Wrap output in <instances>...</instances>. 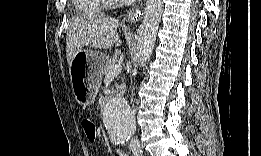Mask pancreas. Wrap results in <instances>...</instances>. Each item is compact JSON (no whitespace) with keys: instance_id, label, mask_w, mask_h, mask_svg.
Here are the masks:
<instances>
[{"instance_id":"cf45deb5","label":"pancreas","mask_w":261,"mask_h":156,"mask_svg":"<svg viewBox=\"0 0 261 156\" xmlns=\"http://www.w3.org/2000/svg\"><path fill=\"white\" fill-rule=\"evenodd\" d=\"M118 61H119V60H118V57H116V56H113L112 58L107 59V60L105 61L104 65H103L102 69H101V73H102L103 75H108V73H109L111 67H112L113 65L117 64Z\"/></svg>"}]
</instances>
